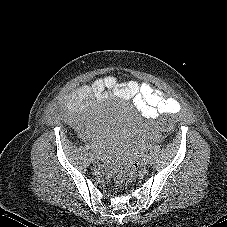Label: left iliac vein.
Wrapping results in <instances>:
<instances>
[{
    "label": "left iliac vein",
    "mask_w": 227,
    "mask_h": 227,
    "mask_svg": "<svg viewBox=\"0 0 227 227\" xmlns=\"http://www.w3.org/2000/svg\"><path fill=\"white\" fill-rule=\"evenodd\" d=\"M142 161H143V163L144 164H148V163H150V161H151V155L150 154H145L144 156H143V159H142Z\"/></svg>",
    "instance_id": "obj_1"
}]
</instances>
